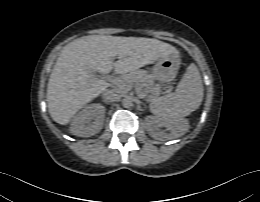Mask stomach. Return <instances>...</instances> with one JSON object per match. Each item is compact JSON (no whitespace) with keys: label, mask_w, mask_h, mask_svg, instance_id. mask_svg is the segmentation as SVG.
<instances>
[{"label":"stomach","mask_w":260,"mask_h":202,"mask_svg":"<svg viewBox=\"0 0 260 202\" xmlns=\"http://www.w3.org/2000/svg\"><path fill=\"white\" fill-rule=\"evenodd\" d=\"M179 68V60L175 54L161 56L152 68L153 78L161 83L173 80Z\"/></svg>","instance_id":"0dacf381"}]
</instances>
